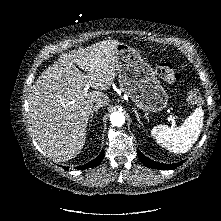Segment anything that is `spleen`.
<instances>
[{"label": "spleen", "mask_w": 221, "mask_h": 221, "mask_svg": "<svg viewBox=\"0 0 221 221\" xmlns=\"http://www.w3.org/2000/svg\"><path fill=\"white\" fill-rule=\"evenodd\" d=\"M202 126L203 110L197 108L180 127L158 125L152 128L151 135L160 146L174 153H186L197 141Z\"/></svg>", "instance_id": "obj_1"}]
</instances>
